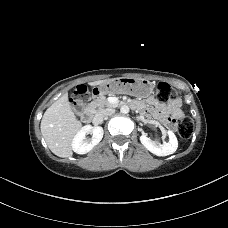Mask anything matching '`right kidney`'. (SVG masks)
<instances>
[{
	"label": "right kidney",
	"instance_id": "obj_1",
	"mask_svg": "<svg viewBox=\"0 0 228 228\" xmlns=\"http://www.w3.org/2000/svg\"><path fill=\"white\" fill-rule=\"evenodd\" d=\"M92 134L90 140L86 139V134ZM103 128L100 126H84L74 136L72 140V149L77 154H86L91 151L103 138Z\"/></svg>",
	"mask_w": 228,
	"mask_h": 228
}]
</instances>
